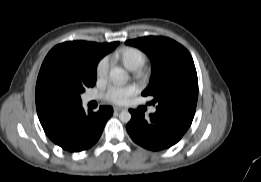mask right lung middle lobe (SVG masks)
<instances>
[{
	"label": "right lung middle lobe",
	"mask_w": 261,
	"mask_h": 182,
	"mask_svg": "<svg viewBox=\"0 0 261 182\" xmlns=\"http://www.w3.org/2000/svg\"><path fill=\"white\" fill-rule=\"evenodd\" d=\"M99 58L89 56L81 62L51 58L42 65L41 84L68 103H81L80 94L96 83Z\"/></svg>",
	"instance_id": "right-lung-middle-lobe-1"
}]
</instances>
